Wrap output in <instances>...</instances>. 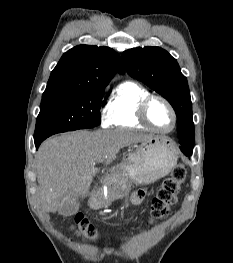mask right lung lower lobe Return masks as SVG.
Wrapping results in <instances>:
<instances>
[{
  "instance_id": "1",
  "label": "right lung lower lobe",
  "mask_w": 233,
  "mask_h": 263,
  "mask_svg": "<svg viewBox=\"0 0 233 263\" xmlns=\"http://www.w3.org/2000/svg\"><path fill=\"white\" fill-rule=\"evenodd\" d=\"M42 141H43V140H37V141H35V146H36V148L39 147V145L42 143Z\"/></svg>"
}]
</instances>
